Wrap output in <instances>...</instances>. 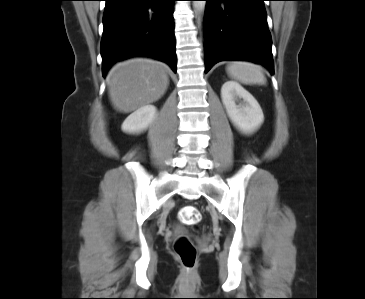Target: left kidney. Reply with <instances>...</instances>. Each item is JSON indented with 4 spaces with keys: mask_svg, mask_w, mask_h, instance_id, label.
<instances>
[{
    "mask_svg": "<svg viewBox=\"0 0 365 299\" xmlns=\"http://www.w3.org/2000/svg\"><path fill=\"white\" fill-rule=\"evenodd\" d=\"M221 98L230 120L243 133L250 134L263 123L264 115L259 103L238 83L225 82Z\"/></svg>",
    "mask_w": 365,
    "mask_h": 299,
    "instance_id": "1",
    "label": "left kidney"
}]
</instances>
